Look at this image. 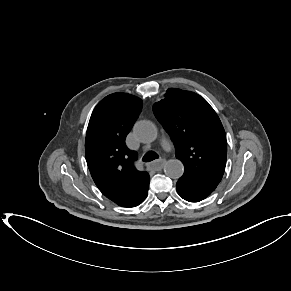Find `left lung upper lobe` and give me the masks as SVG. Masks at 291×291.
I'll return each mask as SVG.
<instances>
[{
	"mask_svg": "<svg viewBox=\"0 0 291 291\" xmlns=\"http://www.w3.org/2000/svg\"><path fill=\"white\" fill-rule=\"evenodd\" d=\"M153 112L184 164L177 184L209 196L222 179L227 158L226 134L218 115L200 95L176 88L154 103Z\"/></svg>",
	"mask_w": 291,
	"mask_h": 291,
	"instance_id": "5c2ea615",
	"label": "left lung upper lobe"
}]
</instances>
